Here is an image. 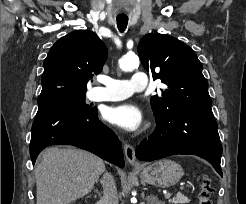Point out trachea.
I'll use <instances>...</instances> for the list:
<instances>
[{
	"mask_svg": "<svg viewBox=\"0 0 246 204\" xmlns=\"http://www.w3.org/2000/svg\"><path fill=\"white\" fill-rule=\"evenodd\" d=\"M127 24L128 18H117V27L121 33L125 31V29L127 28Z\"/></svg>",
	"mask_w": 246,
	"mask_h": 204,
	"instance_id": "1",
	"label": "trachea"
}]
</instances>
